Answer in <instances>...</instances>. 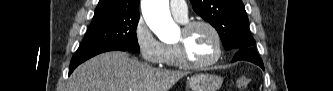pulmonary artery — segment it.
Listing matches in <instances>:
<instances>
[{"instance_id":"1","label":"pulmonary artery","mask_w":333,"mask_h":91,"mask_svg":"<svg viewBox=\"0 0 333 91\" xmlns=\"http://www.w3.org/2000/svg\"><path fill=\"white\" fill-rule=\"evenodd\" d=\"M170 11L179 21L184 22L187 20L188 9L185 1H171Z\"/></svg>"}]
</instances>
